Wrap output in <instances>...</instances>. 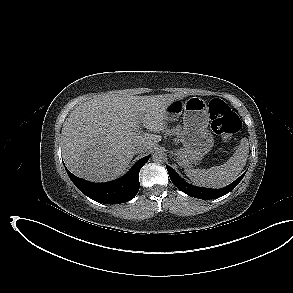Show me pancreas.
I'll return each mask as SVG.
<instances>
[{
    "label": "pancreas",
    "mask_w": 293,
    "mask_h": 293,
    "mask_svg": "<svg viewBox=\"0 0 293 293\" xmlns=\"http://www.w3.org/2000/svg\"><path fill=\"white\" fill-rule=\"evenodd\" d=\"M181 127L178 125L176 128L168 130V135H180L181 134Z\"/></svg>",
    "instance_id": "cf45deb5"
}]
</instances>
